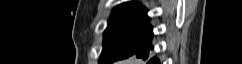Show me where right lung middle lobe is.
I'll return each mask as SVG.
<instances>
[{
  "label": "right lung middle lobe",
  "instance_id": "obj_1",
  "mask_svg": "<svg viewBox=\"0 0 242 64\" xmlns=\"http://www.w3.org/2000/svg\"><path fill=\"white\" fill-rule=\"evenodd\" d=\"M153 37L146 13L118 14L110 17L104 32L99 64H111L147 47Z\"/></svg>",
  "mask_w": 242,
  "mask_h": 64
}]
</instances>
